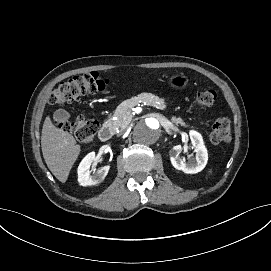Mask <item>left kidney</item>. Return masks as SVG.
<instances>
[{"instance_id": "left-kidney-1", "label": "left kidney", "mask_w": 271, "mask_h": 271, "mask_svg": "<svg viewBox=\"0 0 271 271\" xmlns=\"http://www.w3.org/2000/svg\"><path fill=\"white\" fill-rule=\"evenodd\" d=\"M189 137L195 146V158L185 160L181 155L182 148L180 145L173 147L170 151L172 165L186 173H195L204 167L208 162V149L204 143L202 134L195 130H189Z\"/></svg>"}]
</instances>
